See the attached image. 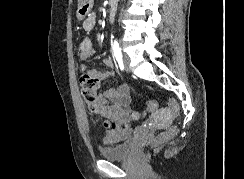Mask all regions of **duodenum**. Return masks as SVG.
Masks as SVG:
<instances>
[{
  "label": "duodenum",
  "mask_w": 244,
  "mask_h": 179,
  "mask_svg": "<svg viewBox=\"0 0 244 179\" xmlns=\"http://www.w3.org/2000/svg\"><path fill=\"white\" fill-rule=\"evenodd\" d=\"M116 11H117V8L112 7V8L110 9L109 13H110L111 16H113V15L116 13Z\"/></svg>",
  "instance_id": "410a0bca"
}]
</instances>
